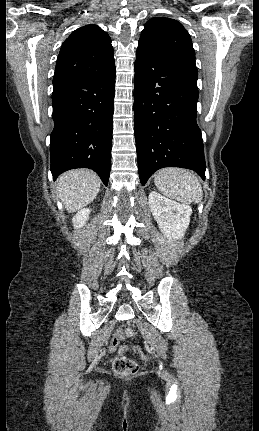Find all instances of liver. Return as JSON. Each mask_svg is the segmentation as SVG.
Segmentation results:
<instances>
[{
  "label": "liver",
  "instance_id": "6515ba94",
  "mask_svg": "<svg viewBox=\"0 0 259 431\" xmlns=\"http://www.w3.org/2000/svg\"><path fill=\"white\" fill-rule=\"evenodd\" d=\"M101 181L88 169L65 172L57 180V193L69 213L91 203L100 190Z\"/></svg>",
  "mask_w": 259,
  "mask_h": 431
}]
</instances>
